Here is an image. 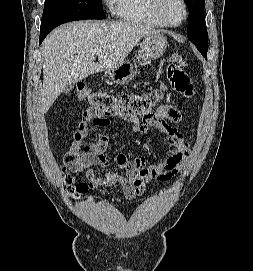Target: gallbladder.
I'll return each mask as SVG.
<instances>
[{
	"instance_id": "gallbladder-1",
	"label": "gallbladder",
	"mask_w": 253,
	"mask_h": 271,
	"mask_svg": "<svg viewBox=\"0 0 253 271\" xmlns=\"http://www.w3.org/2000/svg\"><path fill=\"white\" fill-rule=\"evenodd\" d=\"M72 89H73V85L70 84V85L65 87V89L63 90V93L64 94H69L72 91Z\"/></svg>"
}]
</instances>
